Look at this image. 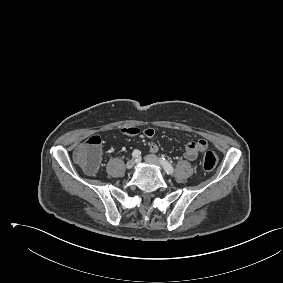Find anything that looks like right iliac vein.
Returning a JSON list of instances; mask_svg holds the SVG:
<instances>
[{"label": "right iliac vein", "mask_w": 283, "mask_h": 283, "mask_svg": "<svg viewBox=\"0 0 283 283\" xmlns=\"http://www.w3.org/2000/svg\"><path fill=\"white\" fill-rule=\"evenodd\" d=\"M135 165V160L134 159H131L129 160L127 163H126V168L127 169H132Z\"/></svg>", "instance_id": "63e3f726"}]
</instances>
